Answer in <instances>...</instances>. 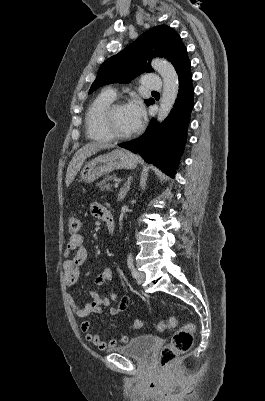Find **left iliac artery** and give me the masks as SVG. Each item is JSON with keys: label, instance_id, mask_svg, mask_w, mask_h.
<instances>
[{"label": "left iliac artery", "instance_id": "44dca946", "mask_svg": "<svg viewBox=\"0 0 265 401\" xmlns=\"http://www.w3.org/2000/svg\"><path fill=\"white\" fill-rule=\"evenodd\" d=\"M127 263H128V267H129V269H130V271H131L132 276H133L134 278H136V276H137V270H136L135 267H134V264H133V257H132V256H129V257H128Z\"/></svg>", "mask_w": 265, "mask_h": 401}]
</instances>
